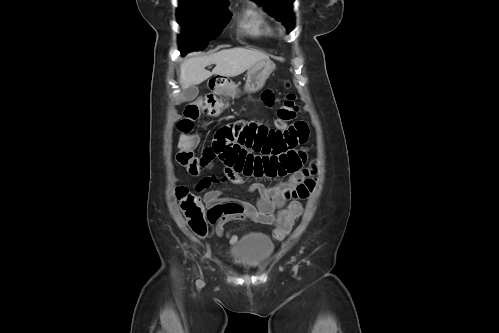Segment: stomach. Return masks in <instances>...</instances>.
<instances>
[{"instance_id":"obj_1","label":"stomach","mask_w":499,"mask_h":333,"mask_svg":"<svg viewBox=\"0 0 499 333\" xmlns=\"http://www.w3.org/2000/svg\"><path fill=\"white\" fill-rule=\"evenodd\" d=\"M274 69L275 64L271 60H262L253 65L247 73L245 91L255 93L261 90ZM214 92L219 96L235 97L237 86L230 80L222 78L215 83Z\"/></svg>"}]
</instances>
